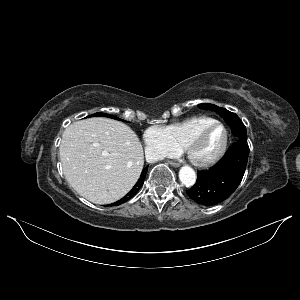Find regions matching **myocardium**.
Listing matches in <instances>:
<instances>
[{"instance_id": "myocardium-1", "label": "myocardium", "mask_w": 300, "mask_h": 300, "mask_svg": "<svg viewBox=\"0 0 300 300\" xmlns=\"http://www.w3.org/2000/svg\"><path fill=\"white\" fill-rule=\"evenodd\" d=\"M215 127H220L223 130V141L222 144L217 151V153L212 156L211 158L207 160H197L194 157V150L197 148V146L203 141V139L208 135V133ZM228 140H229V132L227 127L219 122V121H214L211 124L203 127L200 131H198L186 144L184 150L186 153V156L188 160L198 168H208L211 167L215 164H217L225 155L228 147Z\"/></svg>"}]
</instances>
